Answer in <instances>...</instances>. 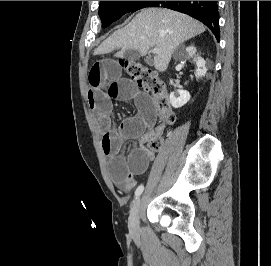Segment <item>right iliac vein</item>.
<instances>
[{"label": "right iliac vein", "instance_id": "right-iliac-vein-1", "mask_svg": "<svg viewBox=\"0 0 271 266\" xmlns=\"http://www.w3.org/2000/svg\"><path fill=\"white\" fill-rule=\"evenodd\" d=\"M141 208V198L139 197L134 201L132 205L128 222L130 234L134 237L138 236L139 234V216Z\"/></svg>", "mask_w": 271, "mask_h": 266}]
</instances>
